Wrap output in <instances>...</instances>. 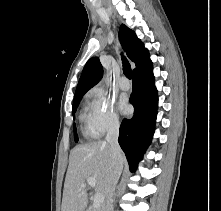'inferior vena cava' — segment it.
Wrapping results in <instances>:
<instances>
[{
  "mask_svg": "<svg viewBox=\"0 0 221 211\" xmlns=\"http://www.w3.org/2000/svg\"><path fill=\"white\" fill-rule=\"evenodd\" d=\"M119 122L113 121L107 131L106 142L110 145L113 157V172L108 184V192L103 211H113V196L115 193L116 184L120 178L123 169L122 150L118 143Z\"/></svg>",
  "mask_w": 221,
  "mask_h": 211,
  "instance_id": "inferior-vena-cava-1",
  "label": "inferior vena cava"
}]
</instances>
